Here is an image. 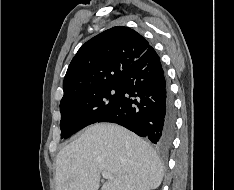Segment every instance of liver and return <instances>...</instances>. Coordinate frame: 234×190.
I'll return each mask as SVG.
<instances>
[{"mask_svg":"<svg viewBox=\"0 0 234 190\" xmlns=\"http://www.w3.org/2000/svg\"><path fill=\"white\" fill-rule=\"evenodd\" d=\"M103 171L111 178L102 190H154L164 174L147 142L119 125L99 123L59 151L57 190H98Z\"/></svg>","mask_w":234,"mask_h":190,"instance_id":"1","label":"liver"}]
</instances>
